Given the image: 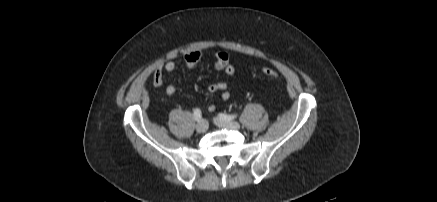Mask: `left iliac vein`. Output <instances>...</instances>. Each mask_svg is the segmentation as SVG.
I'll use <instances>...</instances> for the list:
<instances>
[{"mask_svg":"<svg viewBox=\"0 0 437 202\" xmlns=\"http://www.w3.org/2000/svg\"><path fill=\"white\" fill-rule=\"evenodd\" d=\"M214 123L219 126V127H223V128H228V129H233V130H237L240 128V124L236 121H225L222 120L218 117L214 118Z\"/></svg>","mask_w":437,"mask_h":202,"instance_id":"obj_1","label":"left iliac vein"}]
</instances>
